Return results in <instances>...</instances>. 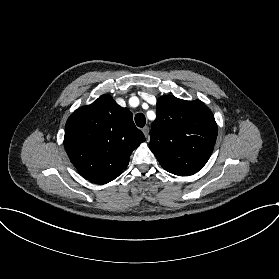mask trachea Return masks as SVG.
<instances>
[{
	"instance_id": "3493384b",
	"label": "trachea",
	"mask_w": 279,
	"mask_h": 279,
	"mask_svg": "<svg viewBox=\"0 0 279 279\" xmlns=\"http://www.w3.org/2000/svg\"><path fill=\"white\" fill-rule=\"evenodd\" d=\"M135 122L137 124L138 127H144L146 124V118L144 116V114L142 113H138L135 115Z\"/></svg>"
}]
</instances>
